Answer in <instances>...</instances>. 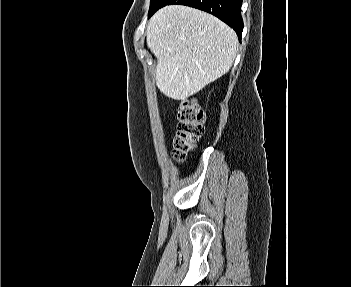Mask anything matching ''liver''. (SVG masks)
Wrapping results in <instances>:
<instances>
[{"label":"liver","instance_id":"6515ba94","mask_svg":"<svg viewBox=\"0 0 351 287\" xmlns=\"http://www.w3.org/2000/svg\"><path fill=\"white\" fill-rule=\"evenodd\" d=\"M146 41L157 58V87L181 101L227 73L238 48L233 29L213 15L182 5L158 10L147 25Z\"/></svg>","mask_w":351,"mask_h":287}]
</instances>
